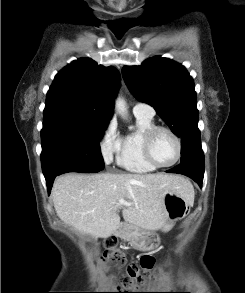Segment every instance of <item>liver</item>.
Returning a JSON list of instances; mask_svg holds the SVG:
<instances>
[{
    "label": "liver",
    "instance_id": "6515ba94",
    "mask_svg": "<svg viewBox=\"0 0 245 293\" xmlns=\"http://www.w3.org/2000/svg\"><path fill=\"white\" fill-rule=\"evenodd\" d=\"M173 191L194 200L190 183L172 174H66L52 188L57 216L79 232L108 238L121 228L118 209L127 226L141 230L170 229L164 196ZM123 199L131 205L119 204Z\"/></svg>",
    "mask_w": 245,
    "mask_h": 293
}]
</instances>
